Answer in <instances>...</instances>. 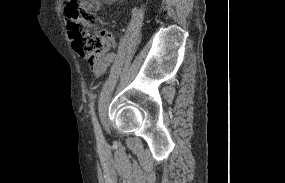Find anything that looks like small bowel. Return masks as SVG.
Returning <instances> with one entry per match:
<instances>
[{"instance_id": "c3829d8e", "label": "small bowel", "mask_w": 285, "mask_h": 183, "mask_svg": "<svg viewBox=\"0 0 285 183\" xmlns=\"http://www.w3.org/2000/svg\"><path fill=\"white\" fill-rule=\"evenodd\" d=\"M102 0H84L83 9L89 12H99L101 10ZM115 56L109 54L106 57L93 61L90 63L91 72L94 76L100 77L107 71L111 62H113Z\"/></svg>"}]
</instances>
